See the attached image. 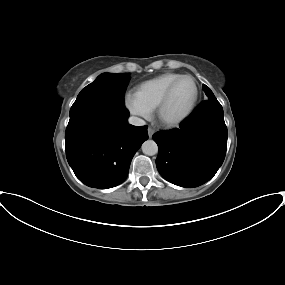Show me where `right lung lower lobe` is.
Instances as JSON below:
<instances>
[{"label":"right lung lower lobe","mask_w":285,"mask_h":285,"mask_svg":"<svg viewBox=\"0 0 285 285\" xmlns=\"http://www.w3.org/2000/svg\"><path fill=\"white\" fill-rule=\"evenodd\" d=\"M128 117L125 106L103 101L70 116L66 157L85 185L107 189L126 179L134 154L148 139L147 127L128 124Z\"/></svg>","instance_id":"98d812e1"}]
</instances>
